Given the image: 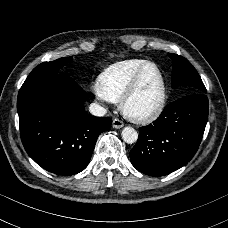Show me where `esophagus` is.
Returning <instances> with one entry per match:
<instances>
[{"label": "esophagus", "instance_id": "1", "mask_svg": "<svg viewBox=\"0 0 228 228\" xmlns=\"http://www.w3.org/2000/svg\"><path fill=\"white\" fill-rule=\"evenodd\" d=\"M113 128L115 129H120L124 126V123L120 119H113L112 121Z\"/></svg>", "mask_w": 228, "mask_h": 228}]
</instances>
